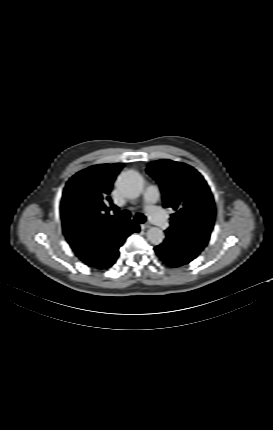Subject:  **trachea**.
Returning <instances> with one entry per match:
<instances>
[{"instance_id": "3493384b", "label": "trachea", "mask_w": 273, "mask_h": 430, "mask_svg": "<svg viewBox=\"0 0 273 430\" xmlns=\"http://www.w3.org/2000/svg\"><path fill=\"white\" fill-rule=\"evenodd\" d=\"M130 216H131V213L129 211L123 210L122 212L119 213V215L117 216V218H115V220H117L118 222H125L130 219ZM134 219L138 223H144L146 221V217L141 213H137L134 216Z\"/></svg>"}]
</instances>
